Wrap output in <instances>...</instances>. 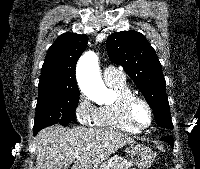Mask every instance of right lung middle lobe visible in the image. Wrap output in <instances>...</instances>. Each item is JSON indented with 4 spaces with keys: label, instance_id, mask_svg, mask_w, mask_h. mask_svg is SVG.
<instances>
[{
    "label": "right lung middle lobe",
    "instance_id": "1",
    "mask_svg": "<svg viewBox=\"0 0 200 169\" xmlns=\"http://www.w3.org/2000/svg\"><path fill=\"white\" fill-rule=\"evenodd\" d=\"M79 91L61 94H39L33 127L34 134L53 124L66 126L75 118Z\"/></svg>",
    "mask_w": 200,
    "mask_h": 169
}]
</instances>
